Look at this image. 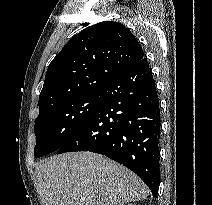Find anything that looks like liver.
Listing matches in <instances>:
<instances>
[{"label":"liver","instance_id":"liver-1","mask_svg":"<svg viewBox=\"0 0 212 205\" xmlns=\"http://www.w3.org/2000/svg\"><path fill=\"white\" fill-rule=\"evenodd\" d=\"M35 174L42 205H124L148 196L132 171L92 152L52 156L36 166Z\"/></svg>","mask_w":212,"mask_h":205}]
</instances>
